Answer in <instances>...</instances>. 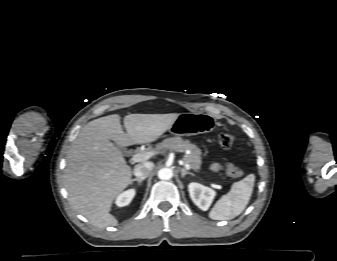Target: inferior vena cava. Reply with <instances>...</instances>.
Returning a JSON list of instances; mask_svg holds the SVG:
<instances>
[{
    "mask_svg": "<svg viewBox=\"0 0 337 261\" xmlns=\"http://www.w3.org/2000/svg\"><path fill=\"white\" fill-rule=\"evenodd\" d=\"M153 167L154 164L152 162L137 164L134 168V175L138 178L145 179L150 175Z\"/></svg>",
    "mask_w": 337,
    "mask_h": 261,
    "instance_id": "obj_1",
    "label": "inferior vena cava"
}]
</instances>
